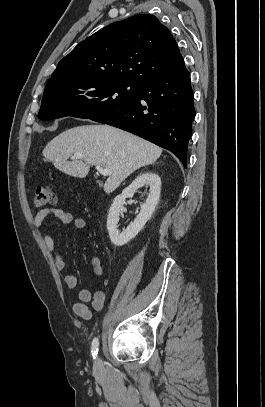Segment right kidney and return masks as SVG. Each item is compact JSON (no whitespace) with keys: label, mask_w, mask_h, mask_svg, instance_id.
<instances>
[{"label":"right kidney","mask_w":265,"mask_h":407,"mask_svg":"<svg viewBox=\"0 0 265 407\" xmlns=\"http://www.w3.org/2000/svg\"><path fill=\"white\" fill-rule=\"evenodd\" d=\"M142 186H149L150 193L145 203L141 205L140 213L136 219L122 232L118 230L119 211L124 205L126 198L133 197L135 191ZM161 191V179L153 172L142 173L122 193L116 196L109 209L107 218V230L111 242L115 246H123L132 240L151 218L158 204Z\"/></svg>","instance_id":"right-kidney-1"}]
</instances>
